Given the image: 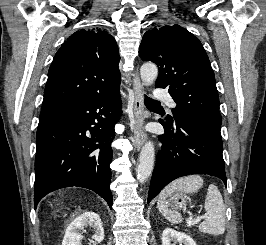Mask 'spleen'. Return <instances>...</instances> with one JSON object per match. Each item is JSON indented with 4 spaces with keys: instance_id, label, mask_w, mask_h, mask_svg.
Here are the masks:
<instances>
[{
    "instance_id": "3e777b00",
    "label": "spleen",
    "mask_w": 266,
    "mask_h": 245,
    "mask_svg": "<svg viewBox=\"0 0 266 245\" xmlns=\"http://www.w3.org/2000/svg\"><path fill=\"white\" fill-rule=\"evenodd\" d=\"M204 181L202 177L198 175H190V177H184V179H177L170 183L168 187H165L161 191L158 199L157 209L162 213L163 217L178 225L182 223L183 219L180 213H174V211H169L168 207L165 205V199L176 193V191H183V193H197L201 189ZM204 209L206 211L205 219L203 223L199 225V231L201 233H208V235H223L225 233L226 227V217H225V205L223 197L218 191V187L215 185H209L208 193L206 195Z\"/></svg>"
}]
</instances>
